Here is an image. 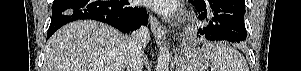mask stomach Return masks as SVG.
Instances as JSON below:
<instances>
[{"mask_svg":"<svg viewBox=\"0 0 301 71\" xmlns=\"http://www.w3.org/2000/svg\"><path fill=\"white\" fill-rule=\"evenodd\" d=\"M209 61L201 49L185 50L177 58L176 71H207Z\"/></svg>","mask_w":301,"mask_h":71,"instance_id":"obj_1","label":"stomach"}]
</instances>
